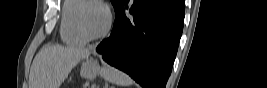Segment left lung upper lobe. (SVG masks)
I'll return each mask as SVG.
<instances>
[{
  "mask_svg": "<svg viewBox=\"0 0 267 88\" xmlns=\"http://www.w3.org/2000/svg\"><path fill=\"white\" fill-rule=\"evenodd\" d=\"M115 12L122 6V4L125 2V0H111Z\"/></svg>",
  "mask_w": 267,
  "mask_h": 88,
  "instance_id": "left-lung-upper-lobe-1",
  "label": "left lung upper lobe"
}]
</instances>
